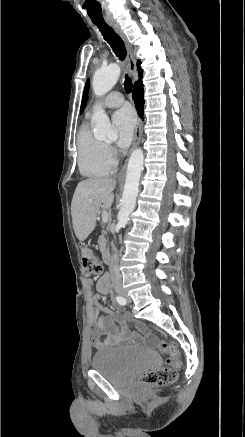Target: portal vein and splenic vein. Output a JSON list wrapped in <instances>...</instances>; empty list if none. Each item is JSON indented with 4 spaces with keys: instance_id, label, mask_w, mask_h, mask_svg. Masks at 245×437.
Segmentation results:
<instances>
[{
    "instance_id": "18ae733b",
    "label": "portal vein and splenic vein",
    "mask_w": 245,
    "mask_h": 437,
    "mask_svg": "<svg viewBox=\"0 0 245 437\" xmlns=\"http://www.w3.org/2000/svg\"><path fill=\"white\" fill-rule=\"evenodd\" d=\"M89 202L92 203L93 199H89ZM109 220V214L107 211L102 212V221L106 223Z\"/></svg>"
}]
</instances>
